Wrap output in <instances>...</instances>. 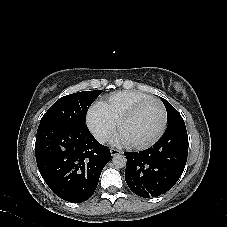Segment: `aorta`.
<instances>
[{
	"instance_id": "aorta-1",
	"label": "aorta",
	"mask_w": 227,
	"mask_h": 227,
	"mask_svg": "<svg viewBox=\"0 0 227 227\" xmlns=\"http://www.w3.org/2000/svg\"><path fill=\"white\" fill-rule=\"evenodd\" d=\"M112 163H113L114 167L117 169L124 168L126 166L127 159L122 154H116L112 158Z\"/></svg>"
}]
</instances>
